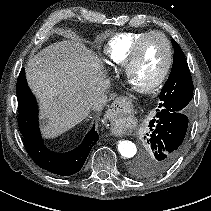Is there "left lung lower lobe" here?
Instances as JSON below:
<instances>
[{
  "instance_id": "1",
  "label": "left lung lower lobe",
  "mask_w": 211,
  "mask_h": 211,
  "mask_svg": "<svg viewBox=\"0 0 211 211\" xmlns=\"http://www.w3.org/2000/svg\"><path fill=\"white\" fill-rule=\"evenodd\" d=\"M188 115L182 112H163L149 123L147 140L152 164L150 174L157 175L170 167L182 151L188 128Z\"/></svg>"
}]
</instances>
